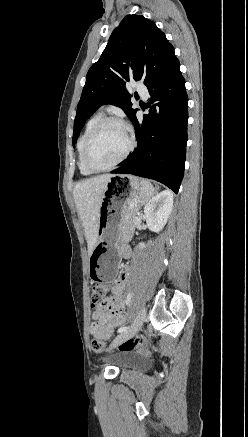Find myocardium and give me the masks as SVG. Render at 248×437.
Instances as JSON below:
<instances>
[{
	"label": "myocardium",
	"mask_w": 248,
	"mask_h": 437,
	"mask_svg": "<svg viewBox=\"0 0 248 437\" xmlns=\"http://www.w3.org/2000/svg\"><path fill=\"white\" fill-rule=\"evenodd\" d=\"M107 124H118L121 127H123L127 133L128 137V146L124 153L121 155L119 159H117L114 163H112L109 166L106 167H96L90 160L89 152H90V146L96 137V135L100 132V130L106 126ZM136 145L135 138L133 136V133L129 126L121 119L116 117H103L100 119L95 126L90 131L89 135L87 136L84 147H83V161L85 166L92 172H105L112 170L116 166H118L120 163H122L124 160L127 159V157L131 154V152L134 150Z\"/></svg>",
	"instance_id": "1"
}]
</instances>
